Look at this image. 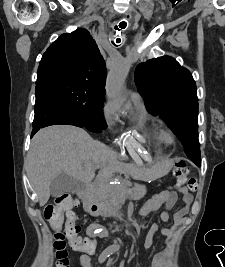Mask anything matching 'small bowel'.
<instances>
[{
    "mask_svg": "<svg viewBox=\"0 0 225 267\" xmlns=\"http://www.w3.org/2000/svg\"><path fill=\"white\" fill-rule=\"evenodd\" d=\"M178 194L181 195L183 207L175 212L173 220L176 224H181L185 215L189 212L193 201V196L189 192L188 188L182 186L156 194L143 205L140 210V214L146 216L159 210L160 208H163L160 218L164 223H168L170 220V212L177 201ZM97 228V225H91L87 230V233L90 236L88 239L93 244V249L90 252L82 251L84 253L80 256V263L83 267H90V256L94 254L96 248L95 231ZM158 231H160L165 237H170L172 235V231L169 228H160L156 223L152 224L143 243V247L145 249L151 247L153 236ZM165 256L166 251L164 249L160 250L152 259V267H164ZM119 267H123V262L120 263Z\"/></svg>",
    "mask_w": 225,
    "mask_h": 267,
    "instance_id": "c3829d8e",
    "label": "small bowel"
}]
</instances>
